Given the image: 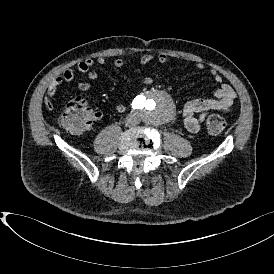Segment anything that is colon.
I'll return each instance as SVG.
<instances>
[{
	"label": "colon",
	"mask_w": 274,
	"mask_h": 274,
	"mask_svg": "<svg viewBox=\"0 0 274 274\" xmlns=\"http://www.w3.org/2000/svg\"><path fill=\"white\" fill-rule=\"evenodd\" d=\"M92 119L87 108L78 101H71L65 105L58 121L71 132L81 133ZM206 126L208 133L221 134L226 128V122L222 116L213 115L208 118Z\"/></svg>",
	"instance_id": "5ec220e1"
}]
</instances>
